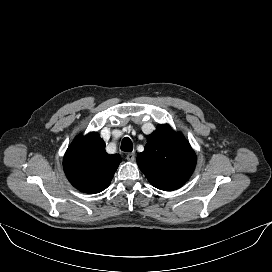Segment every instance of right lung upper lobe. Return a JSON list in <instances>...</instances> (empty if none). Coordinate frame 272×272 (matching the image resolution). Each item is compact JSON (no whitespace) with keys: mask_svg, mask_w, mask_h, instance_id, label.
<instances>
[{"mask_svg":"<svg viewBox=\"0 0 272 272\" xmlns=\"http://www.w3.org/2000/svg\"><path fill=\"white\" fill-rule=\"evenodd\" d=\"M120 162V156L107 154L104 141L92 132L74 139L65 153L63 167L75 188L95 194L109 186Z\"/></svg>","mask_w":272,"mask_h":272,"instance_id":"cb5924a9","label":"right lung upper lobe"}]
</instances>
